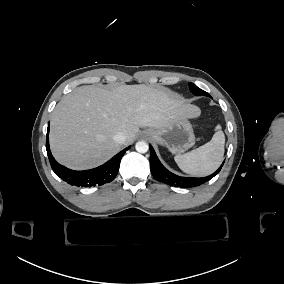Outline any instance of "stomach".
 <instances>
[{
    "mask_svg": "<svg viewBox=\"0 0 284 284\" xmlns=\"http://www.w3.org/2000/svg\"><path fill=\"white\" fill-rule=\"evenodd\" d=\"M142 137L151 139L178 155L195 144L193 128L187 118L176 119L165 127L148 128L142 132Z\"/></svg>",
    "mask_w": 284,
    "mask_h": 284,
    "instance_id": "stomach-1",
    "label": "stomach"
}]
</instances>
